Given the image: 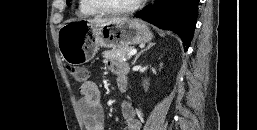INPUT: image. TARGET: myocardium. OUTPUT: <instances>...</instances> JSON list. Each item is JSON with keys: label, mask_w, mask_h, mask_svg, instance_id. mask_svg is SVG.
Returning a JSON list of instances; mask_svg holds the SVG:
<instances>
[{"label": "myocardium", "mask_w": 257, "mask_h": 130, "mask_svg": "<svg viewBox=\"0 0 257 130\" xmlns=\"http://www.w3.org/2000/svg\"><path fill=\"white\" fill-rule=\"evenodd\" d=\"M87 4L91 9L96 11L97 13L102 14H113V15H120V14H129L135 12L137 9L141 7L145 0H137L134 4L124 7V8H111L102 5L97 0H86Z\"/></svg>", "instance_id": "f54148a6"}]
</instances>
